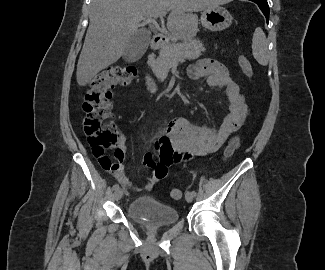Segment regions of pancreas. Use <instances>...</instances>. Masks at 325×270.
I'll use <instances>...</instances> for the list:
<instances>
[{"label": "pancreas", "instance_id": "pancreas-1", "mask_svg": "<svg viewBox=\"0 0 325 270\" xmlns=\"http://www.w3.org/2000/svg\"><path fill=\"white\" fill-rule=\"evenodd\" d=\"M205 51L197 39H187L182 43L172 42L160 49L159 57L153 62L152 70L159 81L166 79L169 70L185 60L197 59Z\"/></svg>", "mask_w": 325, "mask_h": 270}]
</instances>
